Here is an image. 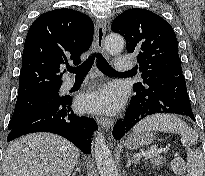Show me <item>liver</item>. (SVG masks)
<instances>
[{"mask_svg":"<svg viewBox=\"0 0 205 176\" xmlns=\"http://www.w3.org/2000/svg\"><path fill=\"white\" fill-rule=\"evenodd\" d=\"M79 149L68 140L51 133H31L6 150L3 176H70Z\"/></svg>","mask_w":205,"mask_h":176,"instance_id":"6515ba94","label":"liver"}]
</instances>
